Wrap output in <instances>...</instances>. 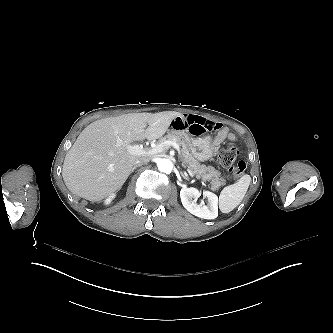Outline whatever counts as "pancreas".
<instances>
[{
  "label": "pancreas",
  "instance_id": "obj_1",
  "mask_svg": "<svg viewBox=\"0 0 333 333\" xmlns=\"http://www.w3.org/2000/svg\"><path fill=\"white\" fill-rule=\"evenodd\" d=\"M164 141H175L181 146V161L184 167H190L196 178L208 182L210 188L219 190L221 186L227 184L222 172L213 166H205L200 164L191 153V140L186 139L179 132H170L166 136L159 139L158 144Z\"/></svg>",
  "mask_w": 333,
  "mask_h": 333
}]
</instances>
